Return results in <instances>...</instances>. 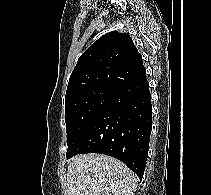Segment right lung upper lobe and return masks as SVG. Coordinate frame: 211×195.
Masks as SVG:
<instances>
[{
  "instance_id": "1",
  "label": "right lung upper lobe",
  "mask_w": 211,
  "mask_h": 195,
  "mask_svg": "<svg viewBox=\"0 0 211 195\" xmlns=\"http://www.w3.org/2000/svg\"><path fill=\"white\" fill-rule=\"evenodd\" d=\"M145 75L142 57L130 35L109 32L78 59L69 79L65 99L89 89L113 90Z\"/></svg>"
}]
</instances>
